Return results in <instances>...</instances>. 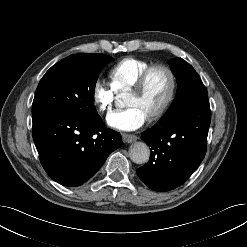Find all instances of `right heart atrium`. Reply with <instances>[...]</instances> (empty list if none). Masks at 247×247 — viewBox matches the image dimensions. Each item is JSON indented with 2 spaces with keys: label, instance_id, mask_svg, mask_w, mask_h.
Segmentation results:
<instances>
[{
  "label": "right heart atrium",
  "instance_id": "right-heart-atrium-1",
  "mask_svg": "<svg viewBox=\"0 0 247 247\" xmlns=\"http://www.w3.org/2000/svg\"><path fill=\"white\" fill-rule=\"evenodd\" d=\"M92 98L97 110L100 113L108 114L113 108L116 91L104 81L97 80L93 85Z\"/></svg>",
  "mask_w": 247,
  "mask_h": 247
}]
</instances>
